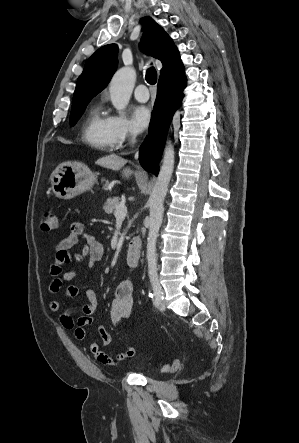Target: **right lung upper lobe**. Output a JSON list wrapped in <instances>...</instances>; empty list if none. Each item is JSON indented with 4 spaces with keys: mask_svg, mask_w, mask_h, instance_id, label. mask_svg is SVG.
Listing matches in <instances>:
<instances>
[{
    "mask_svg": "<svg viewBox=\"0 0 299 443\" xmlns=\"http://www.w3.org/2000/svg\"><path fill=\"white\" fill-rule=\"evenodd\" d=\"M145 29L140 48L159 59L163 68L160 78L176 76L184 72V66L169 35L150 17L144 23ZM118 65V46L109 44L99 48L86 62L79 76L74 92L72 107L89 102L109 83Z\"/></svg>",
    "mask_w": 299,
    "mask_h": 443,
    "instance_id": "cb5924a9",
    "label": "right lung upper lobe"
}]
</instances>
